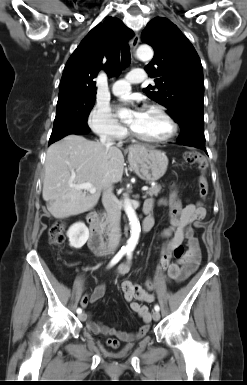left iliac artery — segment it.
I'll list each match as a JSON object with an SVG mask.
<instances>
[{
	"label": "left iliac artery",
	"instance_id": "left-iliac-artery-1",
	"mask_svg": "<svg viewBox=\"0 0 247 385\" xmlns=\"http://www.w3.org/2000/svg\"><path fill=\"white\" fill-rule=\"evenodd\" d=\"M131 257H132V252H131V251H127V258L130 260ZM154 309H155L156 311H159V310H160L159 305H155Z\"/></svg>",
	"mask_w": 247,
	"mask_h": 385
}]
</instances>
